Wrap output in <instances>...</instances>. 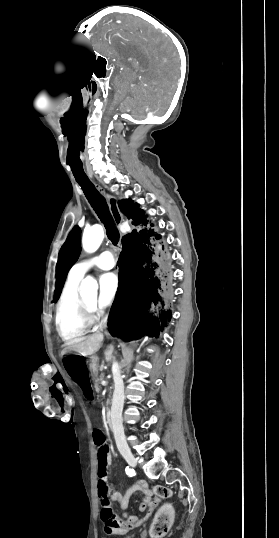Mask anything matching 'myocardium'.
<instances>
[{
    "label": "myocardium",
    "instance_id": "myocardium-1",
    "mask_svg": "<svg viewBox=\"0 0 279 538\" xmlns=\"http://www.w3.org/2000/svg\"><path fill=\"white\" fill-rule=\"evenodd\" d=\"M97 302L89 301L85 296H82L79 304L74 311V318L78 323L93 325L96 321Z\"/></svg>",
    "mask_w": 279,
    "mask_h": 538
}]
</instances>
